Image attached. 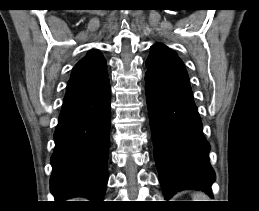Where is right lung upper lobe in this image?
<instances>
[{
	"mask_svg": "<svg viewBox=\"0 0 259 211\" xmlns=\"http://www.w3.org/2000/svg\"><path fill=\"white\" fill-rule=\"evenodd\" d=\"M108 82L105 58L98 51L91 50L73 68L63 103L90 96Z\"/></svg>",
	"mask_w": 259,
	"mask_h": 211,
	"instance_id": "obj_1",
	"label": "right lung upper lobe"
}]
</instances>
